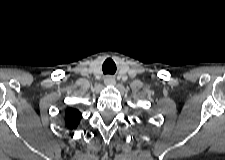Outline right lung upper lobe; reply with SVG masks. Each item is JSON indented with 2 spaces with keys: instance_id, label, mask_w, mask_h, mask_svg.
<instances>
[{
  "instance_id": "1",
  "label": "right lung upper lobe",
  "mask_w": 225,
  "mask_h": 160,
  "mask_svg": "<svg viewBox=\"0 0 225 160\" xmlns=\"http://www.w3.org/2000/svg\"><path fill=\"white\" fill-rule=\"evenodd\" d=\"M81 118H82L81 112H79L77 109L68 108L65 111V125H66V127L71 129V130L77 128Z\"/></svg>"
}]
</instances>
